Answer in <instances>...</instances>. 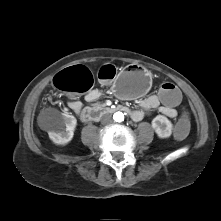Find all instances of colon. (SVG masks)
Masks as SVG:
<instances>
[{
	"label": "colon",
	"mask_w": 221,
	"mask_h": 221,
	"mask_svg": "<svg viewBox=\"0 0 221 221\" xmlns=\"http://www.w3.org/2000/svg\"><path fill=\"white\" fill-rule=\"evenodd\" d=\"M116 75V69L113 65L102 66L97 76L102 81H110ZM54 85L61 91L74 94L83 93L91 90L94 84V76L91 71L82 65L67 68L58 73L54 80ZM157 96L162 105L168 109H177L183 103V94L177 85L172 82H164L157 89ZM192 123L188 119L187 112H183V116L177 120L173 129V137L176 140H183L188 136Z\"/></svg>",
	"instance_id": "colon-1"
}]
</instances>
